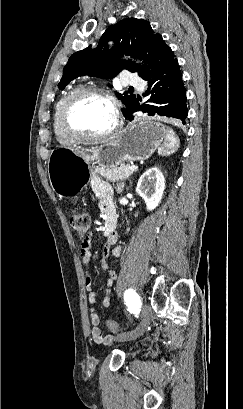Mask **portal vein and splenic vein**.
<instances>
[{"mask_svg":"<svg viewBox=\"0 0 243 409\" xmlns=\"http://www.w3.org/2000/svg\"><path fill=\"white\" fill-rule=\"evenodd\" d=\"M128 168L131 169V170H137L138 169V167L136 165H131Z\"/></svg>","mask_w":243,"mask_h":409,"instance_id":"obj_1","label":"portal vein and splenic vein"}]
</instances>
